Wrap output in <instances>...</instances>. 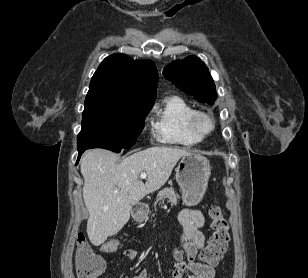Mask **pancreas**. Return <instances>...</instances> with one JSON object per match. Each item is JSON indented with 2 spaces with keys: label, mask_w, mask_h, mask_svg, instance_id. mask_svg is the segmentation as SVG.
Returning a JSON list of instances; mask_svg holds the SVG:
<instances>
[{
  "label": "pancreas",
  "mask_w": 308,
  "mask_h": 278,
  "mask_svg": "<svg viewBox=\"0 0 308 278\" xmlns=\"http://www.w3.org/2000/svg\"><path fill=\"white\" fill-rule=\"evenodd\" d=\"M179 195L174 191L172 187H166L159 191L157 194V200L155 201L154 205H156L158 202L164 204L165 199L168 200V202L171 203V205H177Z\"/></svg>",
  "instance_id": "obj_1"
}]
</instances>
